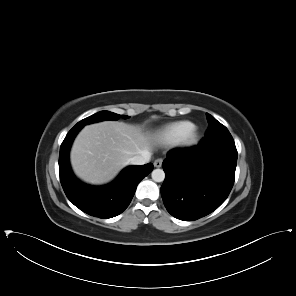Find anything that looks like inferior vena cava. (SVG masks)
Instances as JSON below:
<instances>
[{
    "label": "inferior vena cava",
    "instance_id": "602c4592",
    "mask_svg": "<svg viewBox=\"0 0 296 296\" xmlns=\"http://www.w3.org/2000/svg\"><path fill=\"white\" fill-rule=\"evenodd\" d=\"M151 158L150 152H144L142 155H136L130 159V164L132 165H143L148 163Z\"/></svg>",
    "mask_w": 296,
    "mask_h": 296
}]
</instances>
